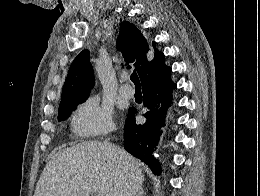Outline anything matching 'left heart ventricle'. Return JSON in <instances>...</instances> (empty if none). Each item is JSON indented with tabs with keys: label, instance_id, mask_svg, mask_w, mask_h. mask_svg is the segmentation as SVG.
Segmentation results:
<instances>
[{
	"label": "left heart ventricle",
	"instance_id": "obj_1",
	"mask_svg": "<svg viewBox=\"0 0 260 196\" xmlns=\"http://www.w3.org/2000/svg\"><path fill=\"white\" fill-rule=\"evenodd\" d=\"M66 190H55V192H65ZM95 192H107V190H95Z\"/></svg>",
	"mask_w": 260,
	"mask_h": 196
}]
</instances>
